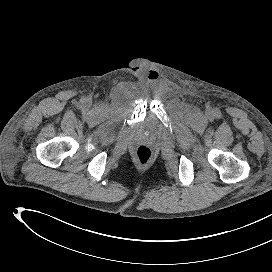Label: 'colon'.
Returning a JSON list of instances; mask_svg holds the SVG:
<instances>
[{
	"instance_id": "1",
	"label": "colon",
	"mask_w": 272,
	"mask_h": 272,
	"mask_svg": "<svg viewBox=\"0 0 272 272\" xmlns=\"http://www.w3.org/2000/svg\"><path fill=\"white\" fill-rule=\"evenodd\" d=\"M134 159L140 165H147L152 159V152L147 146H138L134 151Z\"/></svg>"
}]
</instances>
